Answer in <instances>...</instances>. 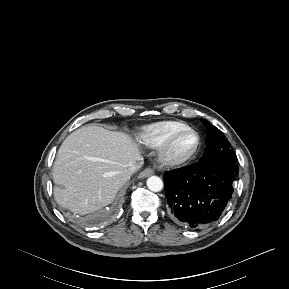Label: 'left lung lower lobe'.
Masks as SVG:
<instances>
[{
    "mask_svg": "<svg viewBox=\"0 0 289 289\" xmlns=\"http://www.w3.org/2000/svg\"><path fill=\"white\" fill-rule=\"evenodd\" d=\"M238 172L237 164L199 162L166 172L165 195L172 215L192 228L216 221L232 198Z\"/></svg>",
    "mask_w": 289,
    "mask_h": 289,
    "instance_id": "0a47b994",
    "label": "left lung lower lobe"
}]
</instances>
